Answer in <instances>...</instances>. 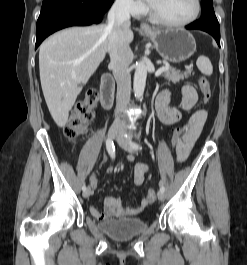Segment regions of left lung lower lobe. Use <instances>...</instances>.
Listing matches in <instances>:
<instances>
[{
  "mask_svg": "<svg viewBox=\"0 0 247 265\" xmlns=\"http://www.w3.org/2000/svg\"><path fill=\"white\" fill-rule=\"evenodd\" d=\"M202 14L199 20L186 26V29L203 30L211 34L220 46V28L215 16L212 0H202Z\"/></svg>",
  "mask_w": 247,
  "mask_h": 265,
  "instance_id": "obj_1",
  "label": "left lung lower lobe"
}]
</instances>
